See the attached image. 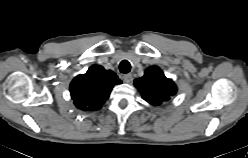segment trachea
<instances>
[{"mask_svg": "<svg viewBox=\"0 0 248 158\" xmlns=\"http://www.w3.org/2000/svg\"><path fill=\"white\" fill-rule=\"evenodd\" d=\"M119 68H120V72L128 73L131 69V65L127 60H123L121 61Z\"/></svg>", "mask_w": 248, "mask_h": 158, "instance_id": "obj_1", "label": "trachea"}]
</instances>
